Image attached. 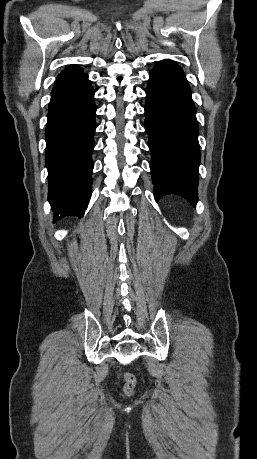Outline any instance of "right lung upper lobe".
I'll return each instance as SVG.
<instances>
[{
	"label": "right lung upper lobe",
	"mask_w": 257,
	"mask_h": 459,
	"mask_svg": "<svg viewBox=\"0 0 257 459\" xmlns=\"http://www.w3.org/2000/svg\"><path fill=\"white\" fill-rule=\"evenodd\" d=\"M81 74H84L82 68H80L77 65H71L67 67L64 71H62L57 79L79 76Z\"/></svg>",
	"instance_id": "obj_1"
}]
</instances>
